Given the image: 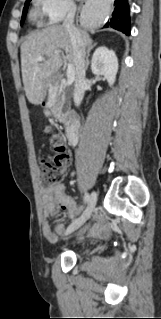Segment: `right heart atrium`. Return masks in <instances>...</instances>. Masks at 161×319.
<instances>
[{
    "mask_svg": "<svg viewBox=\"0 0 161 319\" xmlns=\"http://www.w3.org/2000/svg\"><path fill=\"white\" fill-rule=\"evenodd\" d=\"M51 24H58L75 10L73 0H35Z\"/></svg>",
    "mask_w": 161,
    "mask_h": 319,
    "instance_id": "1",
    "label": "right heart atrium"
}]
</instances>
